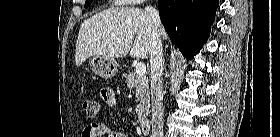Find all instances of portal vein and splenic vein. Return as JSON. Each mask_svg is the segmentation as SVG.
I'll return each mask as SVG.
<instances>
[{"label":"portal vein and splenic vein","instance_id":"18ae733b","mask_svg":"<svg viewBox=\"0 0 280 137\" xmlns=\"http://www.w3.org/2000/svg\"><path fill=\"white\" fill-rule=\"evenodd\" d=\"M135 72L138 76H144L146 73L145 64L142 62L137 63Z\"/></svg>","mask_w":280,"mask_h":137}]
</instances>
